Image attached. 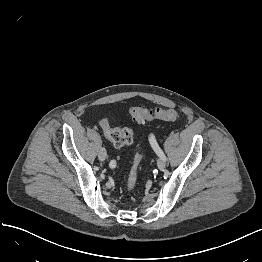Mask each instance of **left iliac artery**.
<instances>
[{
  "instance_id": "obj_1",
  "label": "left iliac artery",
  "mask_w": 262,
  "mask_h": 262,
  "mask_svg": "<svg viewBox=\"0 0 262 262\" xmlns=\"http://www.w3.org/2000/svg\"><path fill=\"white\" fill-rule=\"evenodd\" d=\"M153 149L158 156L165 158V154L163 153V151L161 150V148L157 143L153 146Z\"/></svg>"
}]
</instances>
